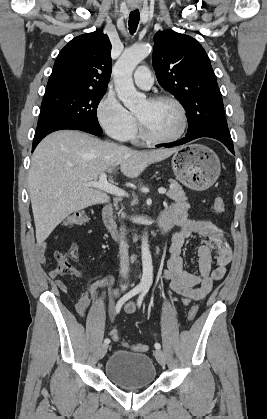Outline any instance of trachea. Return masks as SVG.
I'll use <instances>...</instances> for the list:
<instances>
[{"mask_svg": "<svg viewBox=\"0 0 267 419\" xmlns=\"http://www.w3.org/2000/svg\"><path fill=\"white\" fill-rule=\"evenodd\" d=\"M140 20L139 10L132 11L129 15V31L131 34L136 32Z\"/></svg>", "mask_w": 267, "mask_h": 419, "instance_id": "1", "label": "trachea"}]
</instances>
